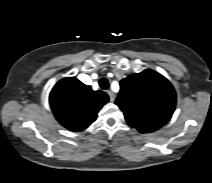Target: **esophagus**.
Segmentation results:
<instances>
[{
    "instance_id": "esophagus-1",
    "label": "esophagus",
    "mask_w": 212,
    "mask_h": 183,
    "mask_svg": "<svg viewBox=\"0 0 212 183\" xmlns=\"http://www.w3.org/2000/svg\"><path fill=\"white\" fill-rule=\"evenodd\" d=\"M107 93H108V95H109L110 101H111V102H114V101H115V98H116L115 93L112 92L111 90H108Z\"/></svg>"
}]
</instances>
